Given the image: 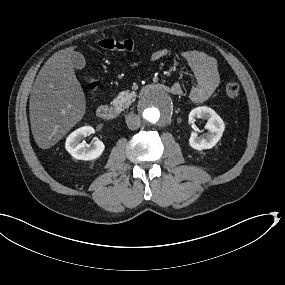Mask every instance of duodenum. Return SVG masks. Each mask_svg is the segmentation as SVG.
<instances>
[{"mask_svg": "<svg viewBox=\"0 0 285 285\" xmlns=\"http://www.w3.org/2000/svg\"><path fill=\"white\" fill-rule=\"evenodd\" d=\"M153 89L159 90L162 92L172 93L171 88L162 83H151V84L144 86L140 90V94H145L146 92L153 90ZM117 115H118L117 110L111 105L103 104L97 108V116L104 121L113 120L114 118L117 117Z\"/></svg>", "mask_w": 285, "mask_h": 285, "instance_id": "1", "label": "duodenum"}]
</instances>
